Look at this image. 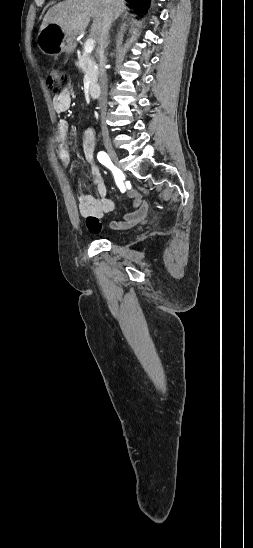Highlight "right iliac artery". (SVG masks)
Returning <instances> with one entry per match:
<instances>
[{
    "mask_svg": "<svg viewBox=\"0 0 253 548\" xmlns=\"http://www.w3.org/2000/svg\"><path fill=\"white\" fill-rule=\"evenodd\" d=\"M97 159L101 164H103L112 171L117 185L121 188V186H123L122 173L118 168L113 165L107 153H105L104 151H100L97 154ZM121 191L124 192V189H121Z\"/></svg>",
    "mask_w": 253,
    "mask_h": 548,
    "instance_id": "82829eb1",
    "label": "right iliac artery"
}]
</instances>
